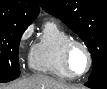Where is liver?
Segmentation results:
<instances>
[{"instance_id": "1", "label": "liver", "mask_w": 107, "mask_h": 89, "mask_svg": "<svg viewBox=\"0 0 107 89\" xmlns=\"http://www.w3.org/2000/svg\"><path fill=\"white\" fill-rule=\"evenodd\" d=\"M0 89H75V87L46 75H34L2 85Z\"/></svg>"}]
</instances>
